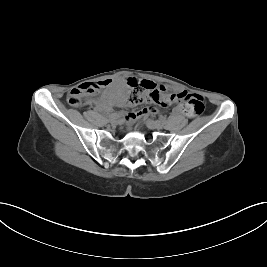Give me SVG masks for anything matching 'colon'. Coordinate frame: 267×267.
<instances>
[{
	"mask_svg": "<svg viewBox=\"0 0 267 267\" xmlns=\"http://www.w3.org/2000/svg\"><path fill=\"white\" fill-rule=\"evenodd\" d=\"M127 84L130 90L124 98V103L128 106H134L142 102L168 106L175 99V96L168 93L165 88L157 87L149 80L129 79ZM89 90L90 87L88 84H83L72 89L67 97L69 104L72 106H81ZM181 99L185 102L182 112L186 116L197 117L204 111L205 105L202 96L183 92Z\"/></svg>",
	"mask_w": 267,
	"mask_h": 267,
	"instance_id": "colon-1",
	"label": "colon"
}]
</instances>
